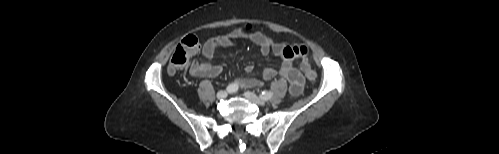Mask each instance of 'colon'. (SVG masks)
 Returning <instances> with one entry per match:
<instances>
[{"label": "colon", "instance_id": "obj_1", "mask_svg": "<svg viewBox=\"0 0 499 154\" xmlns=\"http://www.w3.org/2000/svg\"><path fill=\"white\" fill-rule=\"evenodd\" d=\"M200 45L198 39L194 35L186 36L175 48L170 63L169 71L175 72L177 69L184 67L189 59L199 50ZM301 70L305 77L314 82L317 78L316 72L311 68L307 60L301 63Z\"/></svg>", "mask_w": 499, "mask_h": 154}]
</instances>
